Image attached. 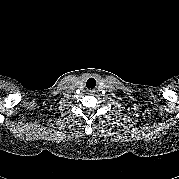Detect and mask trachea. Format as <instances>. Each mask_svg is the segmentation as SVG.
Wrapping results in <instances>:
<instances>
[{
  "instance_id": "trachea-1",
  "label": "trachea",
  "mask_w": 179,
  "mask_h": 179,
  "mask_svg": "<svg viewBox=\"0 0 179 179\" xmlns=\"http://www.w3.org/2000/svg\"><path fill=\"white\" fill-rule=\"evenodd\" d=\"M86 86H87V88L93 89L96 86L95 78H93V77L88 78V80L86 82Z\"/></svg>"
}]
</instances>
